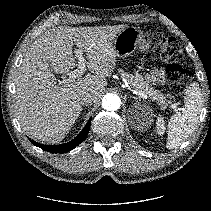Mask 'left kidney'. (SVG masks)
<instances>
[{"mask_svg":"<svg viewBox=\"0 0 211 211\" xmlns=\"http://www.w3.org/2000/svg\"><path fill=\"white\" fill-rule=\"evenodd\" d=\"M152 115V114H151ZM152 116H149L148 118H146V120H144V122H141V125H142V128L143 127H148L151 122H152V119H151ZM156 129H157V133L159 135H162L165 131V126H164V121L162 118H157V121H156Z\"/></svg>","mask_w":211,"mask_h":211,"instance_id":"obj_1","label":"left kidney"}]
</instances>
